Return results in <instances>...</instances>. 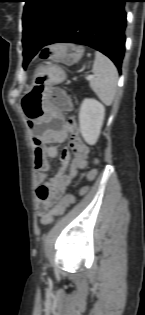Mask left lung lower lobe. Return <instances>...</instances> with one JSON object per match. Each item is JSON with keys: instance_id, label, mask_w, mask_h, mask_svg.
<instances>
[{"instance_id": "1", "label": "left lung lower lobe", "mask_w": 145, "mask_h": 315, "mask_svg": "<svg viewBox=\"0 0 145 315\" xmlns=\"http://www.w3.org/2000/svg\"><path fill=\"white\" fill-rule=\"evenodd\" d=\"M129 0H74L60 25L46 41L23 35V56L29 61L44 46L65 42L92 47L108 56L121 71L125 52L126 12Z\"/></svg>"}]
</instances>
